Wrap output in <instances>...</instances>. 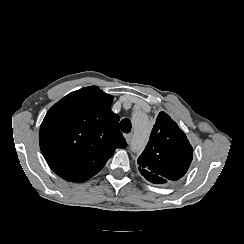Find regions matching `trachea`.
I'll list each match as a JSON object with an SVG mask.
<instances>
[{
	"mask_svg": "<svg viewBox=\"0 0 244 244\" xmlns=\"http://www.w3.org/2000/svg\"><path fill=\"white\" fill-rule=\"evenodd\" d=\"M120 129L124 133H129L131 131V121L129 119H123L120 122Z\"/></svg>",
	"mask_w": 244,
	"mask_h": 244,
	"instance_id": "trachea-1",
	"label": "trachea"
}]
</instances>
